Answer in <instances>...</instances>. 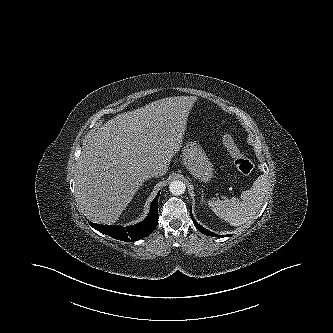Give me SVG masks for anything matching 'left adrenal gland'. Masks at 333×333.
<instances>
[{"instance_id": "obj_1", "label": "left adrenal gland", "mask_w": 333, "mask_h": 333, "mask_svg": "<svg viewBox=\"0 0 333 333\" xmlns=\"http://www.w3.org/2000/svg\"><path fill=\"white\" fill-rule=\"evenodd\" d=\"M203 195H204V194H203V190H202V200H203V197H204Z\"/></svg>"}]
</instances>
